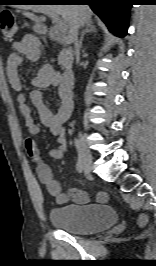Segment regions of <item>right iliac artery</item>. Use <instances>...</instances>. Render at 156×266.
<instances>
[{
    "label": "right iliac artery",
    "mask_w": 156,
    "mask_h": 266,
    "mask_svg": "<svg viewBox=\"0 0 156 266\" xmlns=\"http://www.w3.org/2000/svg\"><path fill=\"white\" fill-rule=\"evenodd\" d=\"M74 144H75L76 149L78 151V161H77V164H76V169H77V171L79 173H82L83 170H84V166H83L82 160L80 158L79 140L78 139H74Z\"/></svg>",
    "instance_id": "obj_1"
}]
</instances>
